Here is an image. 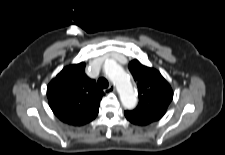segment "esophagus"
I'll list each match as a JSON object with an SVG mask.
<instances>
[{"mask_svg": "<svg viewBox=\"0 0 225 155\" xmlns=\"http://www.w3.org/2000/svg\"><path fill=\"white\" fill-rule=\"evenodd\" d=\"M116 88L113 84H111L107 89H105L106 92H115Z\"/></svg>", "mask_w": 225, "mask_h": 155, "instance_id": "34e87169", "label": "esophagus"}]
</instances>
